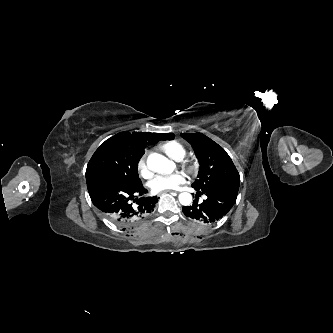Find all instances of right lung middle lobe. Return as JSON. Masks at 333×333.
<instances>
[{"mask_svg": "<svg viewBox=\"0 0 333 333\" xmlns=\"http://www.w3.org/2000/svg\"><path fill=\"white\" fill-rule=\"evenodd\" d=\"M160 138L174 137L173 134H158ZM139 159L134 158L124 142L117 135L106 140L91 157L86 176L103 173L120 178L131 184H139L137 166Z\"/></svg>", "mask_w": 333, "mask_h": 333, "instance_id": "obj_1", "label": "right lung middle lobe"}]
</instances>
